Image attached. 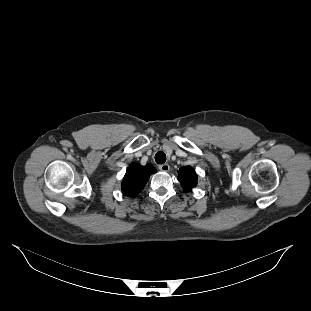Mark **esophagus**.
<instances>
[{
	"label": "esophagus",
	"mask_w": 311,
	"mask_h": 311,
	"mask_svg": "<svg viewBox=\"0 0 311 311\" xmlns=\"http://www.w3.org/2000/svg\"><path fill=\"white\" fill-rule=\"evenodd\" d=\"M169 169H170V166L167 163L159 165V170H161L162 172H168Z\"/></svg>",
	"instance_id": "34e87169"
}]
</instances>
